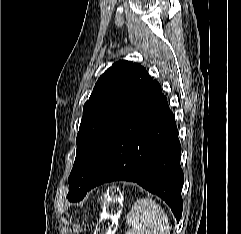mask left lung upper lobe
Masks as SVG:
<instances>
[{
    "instance_id": "5c2ea615",
    "label": "left lung upper lobe",
    "mask_w": 241,
    "mask_h": 234,
    "mask_svg": "<svg viewBox=\"0 0 241 234\" xmlns=\"http://www.w3.org/2000/svg\"><path fill=\"white\" fill-rule=\"evenodd\" d=\"M152 82L144 67L125 60L100 76L83 107L76 159L68 178L69 201L84 198L120 127Z\"/></svg>"
}]
</instances>
